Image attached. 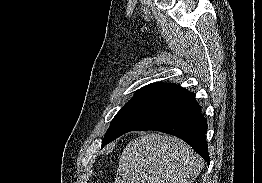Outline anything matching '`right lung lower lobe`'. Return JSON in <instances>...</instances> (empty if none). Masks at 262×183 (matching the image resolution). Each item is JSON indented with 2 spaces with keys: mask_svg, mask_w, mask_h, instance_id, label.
Instances as JSON below:
<instances>
[{
  "mask_svg": "<svg viewBox=\"0 0 262 183\" xmlns=\"http://www.w3.org/2000/svg\"><path fill=\"white\" fill-rule=\"evenodd\" d=\"M200 111L201 107L196 102L194 93L169 83L155 94L121 135L134 130L168 133L184 140L209 164L205 136L207 121Z\"/></svg>",
  "mask_w": 262,
  "mask_h": 183,
  "instance_id": "1",
  "label": "right lung lower lobe"
}]
</instances>
